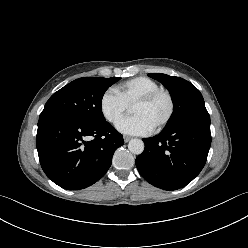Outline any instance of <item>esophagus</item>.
Returning a JSON list of instances; mask_svg holds the SVG:
<instances>
[{
  "mask_svg": "<svg viewBox=\"0 0 248 248\" xmlns=\"http://www.w3.org/2000/svg\"><path fill=\"white\" fill-rule=\"evenodd\" d=\"M123 139H124V142L127 143L131 139V137L130 136H124Z\"/></svg>",
  "mask_w": 248,
  "mask_h": 248,
  "instance_id": "34e87169",
  "label": "esophagus"
}]
</instances>
